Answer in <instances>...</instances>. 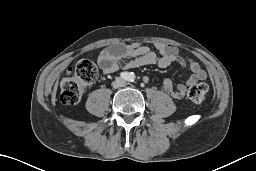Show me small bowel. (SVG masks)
I'll list each match as a JSON object with an SVG mask.
<instances>
[{
  "label": "small bowel",
  "instance_id": "small-bowel-1",
  "mask_svg": "<svg viewBox=\"0 0 256 171\" xmlns=\"http://www.w3.org/2000/svg\"><path fill=\"white\" fill-rule=\"evenodd\" d=\"M173 62H178L182 67L189 68L191 74L185 83H180L176 87L172 80L164 79L162 88L171 98L181 99L186 95L190 86L205 80L207 74L198 62L181 57L175 46L164 42L154 43L153 48L142 42L113 44L104 49L98 57V65L104 75L121 68H138L148 65L167 68Z\"/></svg>",
  "mask_w": 256,
  "mask_h": 171
}]
</instances>
